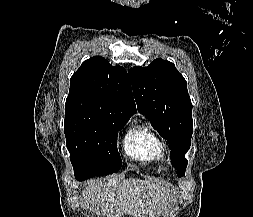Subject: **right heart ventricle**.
<instances>
[{"mask_svg":"<svg viewBox=\"0 0 253 217\" xmlns=\"http://www.w3.org/2000/svg\"><path fill=\"white\" fill-rule=\"evenodd\" d=\"M126 155L144 164L160 163L163 146L158 136L145 125L130 129L123 139Z\"/></svg>","mask_w":253,"mask_h":217,"instance_id":"right-heart-ventricle-1","label":"right heart ventricle"}]
</instances>
